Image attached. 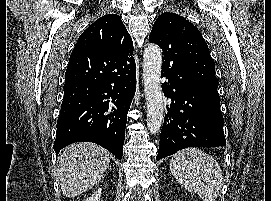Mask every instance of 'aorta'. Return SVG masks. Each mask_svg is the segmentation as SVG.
<instances>
[{
  "instance_id": "aorta-1",
  "label": "aorta",
  "mask_w": 271,
  "mask_h": 201,
  "mask_svg": "<svg viewBox=\"0 0 271 201\" xmlns=\"http://www.w3.org/2000/svg\"><path fill=\"white\" fill-rule=\"evenodd\" d=\"M162 51L156 44H150L143 54V82L147 108V126L156 134L163 123V101L160 83Z\"/></svg>"
}]
</instances>
